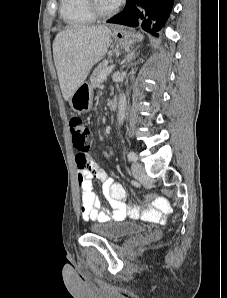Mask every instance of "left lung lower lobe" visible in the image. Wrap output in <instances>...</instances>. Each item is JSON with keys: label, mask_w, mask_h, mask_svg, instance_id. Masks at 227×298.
<instances>
[{"label": "left lung lower lobe", "mask_w": 227, "mask_h": 298, "mask_svg": "<svg viewBox=\"0 0 227 298\" xmlns=\"http://www.w3.org/2000/svg\"><path fill=\"white\" fill-rule=\"evenodd\" d=\"M174 0H127L123 11L107 20L109 23L131 27L141 25L151 34H156L166 22Z\"/></svg>", "instance_id": "left-lung-lower-lobe-1"}]
</instances>
